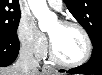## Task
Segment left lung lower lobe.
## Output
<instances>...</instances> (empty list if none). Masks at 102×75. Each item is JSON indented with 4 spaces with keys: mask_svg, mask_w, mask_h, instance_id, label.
<instances>
[{
    "mask_svg": "<svg viewBox=\"0 0 102 75\" xmlns=\"http://www.w3.org/2000/svg\"><path fill=\"white\" fill-rule=\"evenodd\" d=\"M63 71L60 70V72ZM67 73L102 75V41L93 44L92 56L87 63L70 69Z\"/></svg>",
    "mask_w": 102,
    "mask_h": 75,
    "instance_id": "obj_1",
    "label": "left lung lower lobe"
}]
</instances>
